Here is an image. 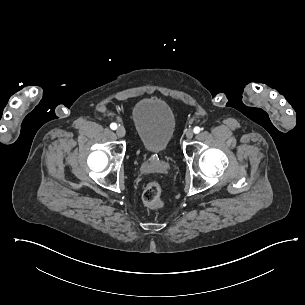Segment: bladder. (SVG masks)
I'll return each instance as SVG.
<instances>
[{
  "mask_svg": "<svg viewBox=\"0 0 305 305\" xmlns=\"http://www.w3.org/2000/svg\"><path fill=\"white\" fill-rule=\"evenodd\" d=\"M131 120L137 138L136 148L144 152H164L175 132V114L172 105L161 97H141L131 108ZM165 115V121L152 120V114Z\"/></svg>",
  "mask_w": 305,
  "mask_h": 305,
  "instance_id": "bladder-1",
  "label": "bladder"
}]
</instances>
